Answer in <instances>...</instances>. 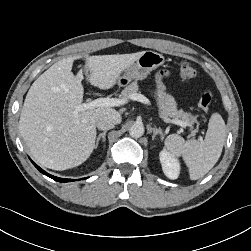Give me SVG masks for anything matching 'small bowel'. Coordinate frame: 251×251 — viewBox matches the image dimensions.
Masks as SVG:
<instances>
[{"label":"small bowel","mask_w":251,"mask_h":251,"mask_svg":"<svg viewBox=\"0 0 251 251\" xmlns=\"http://www.w3.org/2000/svg\"><path fill=\"white\" fill-rule=\"evenodd\" d=\"M167 75V73H163V72H161L159 75H158V78H157V89L160 91V92H162L163 90H164V85H163V83H162V78L164 77V76H166Z\"/></svg>","instance_id":"obj_1"}]
</instances>
